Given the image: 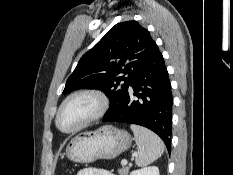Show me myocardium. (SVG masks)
Returning a JSON list of instances; mask_svg holds the SVG:
<instances>
[{"label": "myocardium", "instance_id": "myocardium-1", "mask_svg": "<svg viewBox=\"0 0 233 175\" xmlns=\"http://www.w3.org/2000/svg\"><path fill=\"white\" fill-rule=\"evenodd\" d=\"M81 96H88V97H92L93 99H95V101L97 103V107H96L95 111L93 112V114H91L89 117L84 119L82 122H80L79 124H77L73 128L63 129L59 124V118H60V115H61L63 109L71 100H73L74 98H77V97H81ZM109 106H110V100H109L108 96L100 89L85 88V89H79V90L73 91L69 95H67L63 99L61 104L59 105L58 110L56 112V116H55V125L60 131H62L64 133H72V132L78 131L81 128L85 127L86 125H88V124L98 120L102 116H104L105 113L107 112V110L109 109Z\"/></svg>", "mask_w": 233, "mask_h": 175}]
</instances>
